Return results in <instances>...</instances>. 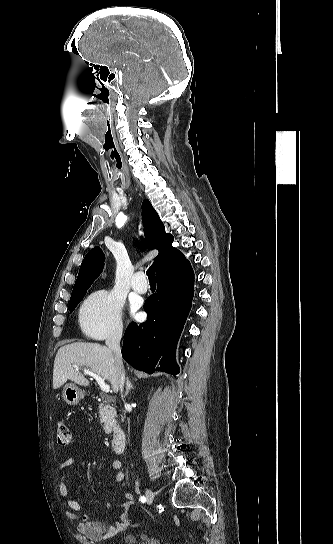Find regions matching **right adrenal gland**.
Wrapping results in <instances>:
<instances>
[{
  "mask_svg": "<svg viewBox=\"0 0 333 544\" xmlns=\"http://www.w3.org/2000/svg\"><path fill=\"white\" fill-rule=\"evenodd\" d=\"M133 388V385L131 384L129 378L127 377L126 378V392H125V396L128 395L129 391Z\"/></svg>",
  "mask_w": 333,
  "mask_h": 544,
  "instance_id": "right-adrenal-gland-1",
  "label": "right adrenal gland"
}]
</instances>
